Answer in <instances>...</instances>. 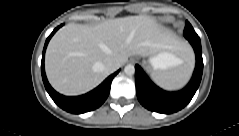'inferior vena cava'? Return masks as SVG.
Returning a JSON list of instances; mask_svg holds the SVG:
<instances>
[{"instance_id":"602c4592","label":"inferior vena cava","mask_w":239,"mask_h":136,"mask_svg":"<svg viewBox=\"0 0 239 136\" xmlns=\"http://www.w3.org/2000/svg\"><path fill=\"white\" fill-rule=\"evenodd\" d=\"M119 67H120L119 62L116 61V60H113V59L108 60L105 63V68L110 72H113V71L117 70Z\"/></svg>"}]
</instances>
